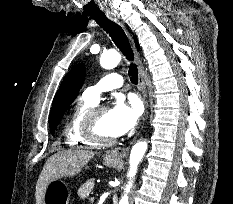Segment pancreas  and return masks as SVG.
<instances>
[{
    "mask_svg": "<svg viewBox=\"0 0 233 204\" xmlns=\"http://www.w3.org/2000/svg\"><path fill=\"white\" fill-rule=\"evenodd\" d=\"M94 178L86 181L84 184H82L78 189V196L82 198L83 200L86 199L91 191L93 190L95 183Z\"/></svg>",
    "mask_w": 233,
    "mask_h": 204,
    "instance_id": "1",
    "label": "pancreas"
}]
</instances>
